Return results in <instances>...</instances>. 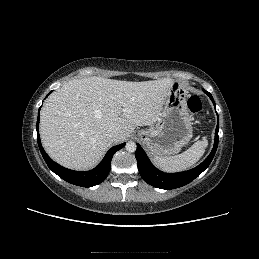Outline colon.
I'll use <instances>...</instances> for the list:
<instances>
[{"label": "colon", "mask_w": 259, "mask_h": 259, "mask_svg": "<svg viewBox=\"0 0 259 259\" xmlns=\"http://www.w3.org/2000/svg\"><path fill=\"white\" fill-rule=\"evenodd\" d=\"M186 107L192 115H196L202 108L201 100L198 96L193 95L187 99Z\"/></svg>", "instance_id": "5ec220e1"}]
</instances>
